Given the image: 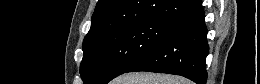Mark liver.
<instances>
[{"mask_svg": "<svg viewBox=\"0 0 260 84\" xmlns=\"http://www.w3.org/2000/svg\"><path fill=\"white\" fill-rule=\"evenodd\" d=\"M117 84H188L179 76L156 73H127L116 80Z\"/></svg>", "mask_w": 260, "mask_h": 84, "instance_id": "liver-1", "label": "liver"}]
</instances>
